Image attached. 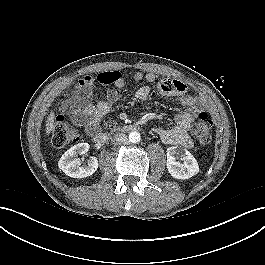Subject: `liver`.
I'll return each instance as SVG.
<instances>
[{
	"label": "liver",
	"instance_id": "1",
	"mask_svg": "<svg viewBox=\"0 0 265 265\" xmlns=\"http://www.w3.org/2000/svg\"><path fill=\"white\" fill-rule=\"evenodd\" d=\"M54 119H55V114L53 111H51L50 115L47 118V122H46V134H49L53 130Z\"/></svg>",
	"mask_w": 265,
	"mask_h": 265
}]
</instances>
